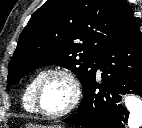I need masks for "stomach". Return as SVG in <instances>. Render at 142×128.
Returning a JSON list of instances; mask_svg holds the SVG:
<instances>
[{
	"label": "stomach",
	"instance_id": "0dacf381",
	"mask_svg": "<svg viewBox=\"0 0 142 128\" xmlns=\"http://www.w3.org/2000/svg\"><path fill=\"white\" fill-rule=\"evenodd\" d=\"M28 128H63L61 125H49V126H42V125H28Z\"/></svg>",
	"mask_w": 142,
	"mask_h": 128
}]
</instances>
